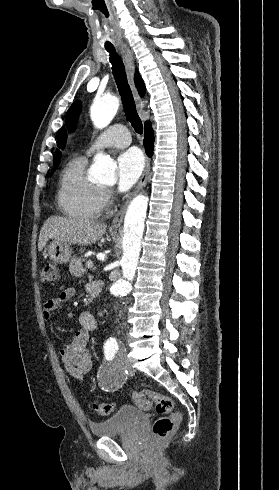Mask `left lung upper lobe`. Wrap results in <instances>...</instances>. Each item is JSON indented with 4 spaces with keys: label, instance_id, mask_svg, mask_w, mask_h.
I'll use <instances>...</instances> for the list:
<instances>
[{
    "label": "left lung upper lobe",
    "instance_id": "left-lung-upper-lobe-1",
    "mask_svg": "<svg viewBox=\"0 0 279 490\" xmlns=\"http://www.w3.org/2000/svg\"><path fill=\"white\" fill-rule=\"evenodd\" d=\"M80 101H75L66 114V122L70 125H74L80 112Z\"/></svg>",
    "mask_w": 279,
    "mask_h": 490
}]
</instances>
